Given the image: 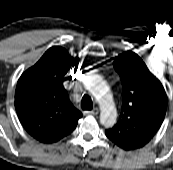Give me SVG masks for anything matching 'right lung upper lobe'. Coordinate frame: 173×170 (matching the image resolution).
I'll return each instance as SVG.
<instances>
[{
	"label": "right lung upper lobe",
	"mask_w": 173,
	"mask_h": 170,
	"mask_svg": "<svg viewBox=\"0 0 173 170\" xmlns=\"http://www.w3.org/2000/svg\"><path fill=\"white\" fill-rule=\"evenodd\" d=\"M78 63V57L54 46L18 80L15 91L18 118L27 133L42 143H54L70 134L82 117L63 86L67 72Z\"/></svg>",
	"instance_id": "1"
}]
</instances>
